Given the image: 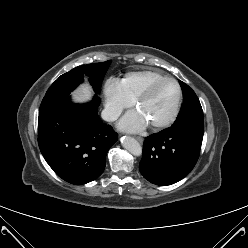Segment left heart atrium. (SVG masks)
<instances>
[{"mask_svg": "<svg viewBox=\"0 0 248 248\" xmlns=\"http://www.w3.org/2000/svg\"><path fill=\"white\" fill-rule=\"evenodd\" d=\"M148 124L147 119L139 110H132L128 112L119 122V127L127 132H140L146 128Z\"/></svg>", "mask_w": 248, "mask_h": 248, "instance_id": "obj_1", "label": "left heart atrium"}]
</instances>
